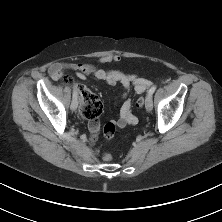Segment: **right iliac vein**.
<instances>
[{"mask_svg": "<svg viewBox=\"0 0 222 222\" xmlns=\"http://www.w3.org/2000/svg\"><path fill=\"white\" fill-rule=\"evenodd\" d=\"M77 107H78V102L76 99H74L71 103L70 108H71V110L75 111L77 109Z\"/></svg>", "mask_w": 222, "mask_h": 222, "instance_id": "63e3f726", "label": "right iliac vein"}]
</instances>
